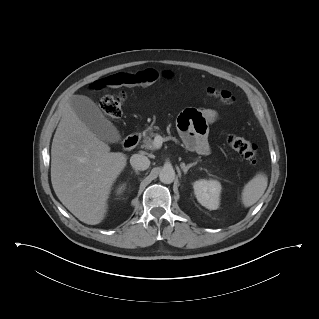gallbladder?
<instances>
[{"label": "gallbladder", "mask_w": 319, "mask_h": 319, "mask_svg": "<svg viewBox=\"0 0 319 319\" xmlns=\"http://www.w3.org/2000/svg\"><path fill=\"white\" fill-rule=\"evenodd\" d=\"M69 103L78 118L100 140L109 143L121 141L117 128L105 118L100 108L90 98L75 95L70 98Z\"/></svg>", "instance_id": "1"}]
</instances>
